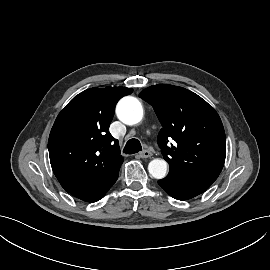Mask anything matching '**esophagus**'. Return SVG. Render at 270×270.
I'll return each instance as SVG.
<instances>
[{
    "mask_svg": "<svg viewBox=\"0 0 270 270\" xmlns=\"http://www.w3.org/2000/svg\"><path fill=\"white\" fill-rule=\"evenodd\" d=\"M139 156L144 159L150 158L152 156V152L149 150H143L142 152L139 153Z\"/></svg>",
    "mask_w": 270,
    "mask_h": 270,
    "instance_id": "1",
    "label": "esophagus"
}]
</instances>
